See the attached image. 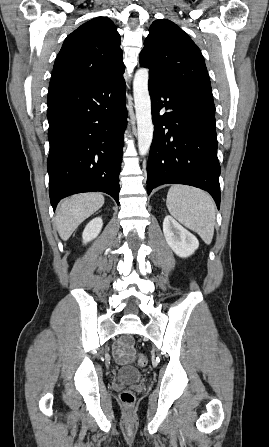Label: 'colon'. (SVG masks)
Instances as JSON below:
<instances>
[{
  "instance_id": "1",
  "label": "colon",
  "mask_w": 269,
  "mask_h": 447,
  "mask_svg": "<svg viewBox=\"0 0 269 447\" xmlns=\"http://www.w3.org/2000/svg\"><path fill=\"white\" fill-rule=\"evenodd\" d=\"M131 345L130 342H127L125 344V349L127 351V353L131 356V360L135 363H137L139 366L144 367L147 365V357L140 355V356H136L133 353L129 352V346ZM120 402L125 405V406H131L134 404L135 402V394L131 391V390H123L120 393Z\"/></svg>"
}]
</instances>
